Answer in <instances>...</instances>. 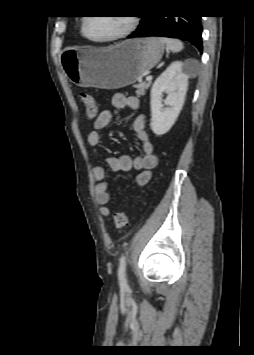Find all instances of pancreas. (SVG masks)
<instances>
[{"mask_svg": "<svg viewBox=\"0 0 254 355\" xmlns=\"http://www.w3.org/2000/svg\"><path fill=\"white\" fill-rule=\"evenodd\" d=\"M150 85H151V81L141 82V83L135 85L136 94L138 96H144L146 93V90L150 87Z\"/></svg>", "mask_w": 254, "mask_h": 355, "instance_id": "1", "label": "pancreas"}]
</instances>
